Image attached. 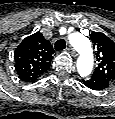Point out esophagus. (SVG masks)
Listing matches in <instances>:
<instances>
[{"mask_svg":"<svg viewBox=\"0 0 115 119\" xmlns=\"http://www.w3.org/2000/svg\"><path fill=\"white\" fill-rule=\"evenodd\" d=\"M67 51L73 56L76 57L77 56V52L74 50V48H72L71 46H69L67 48Z\"/></svg>","mask_w":115,"mask_h":119,"instance_id":"34e87169","label":"esophagus"}]
</instances>
